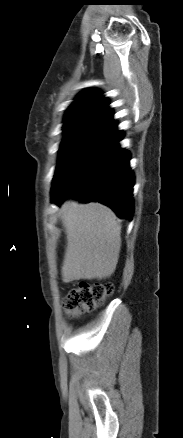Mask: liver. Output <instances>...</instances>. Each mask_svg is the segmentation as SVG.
<instances>
[{"instance_id": "6515ba94", "label": "liver", "mask_w": 183, "mask_h": 438, "mask_svg": "<svg viewBox=\"0 0 183 438\" xmlns=\"http://www.w3.org/2000/svg\"><path fill=\"white\" fill-rule=\"evenodd\" d=\"M60 211L67 235L63 282L110 277L121 248V225L114 212L99 203L72 200L64 202Z\"/></svg>"}]
</instances>
